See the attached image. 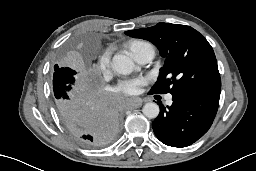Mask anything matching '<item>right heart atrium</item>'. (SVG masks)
<instances>
[{"label": "right heart atrium", "mask_w": 256, "mask_h": 171, "mask_svg": "<svg viewBox=\"0 0 256 171\" xmlns=\"http://www.w3.org/2000/svg\"><path fill=\"white\" fill-rule=\"evenodd\" d=\"M95 68L102 74H105L109 70V54L108 52L103 53L97 63L95 64Z\"/></svg>", "instance_id": "d8ad5b80"}]
</instances>
